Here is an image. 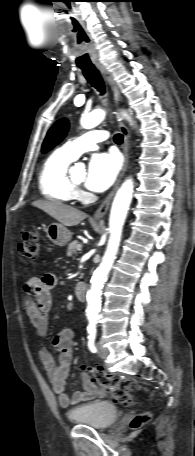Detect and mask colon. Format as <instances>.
I'll list each match as a JSON object with an SVG mask.
<instances>
[{
  "instance_id": "1",
  "label": "colon",
  "mask_w": 195,
  "mask_h": 456,
  "mask_svg": "<svg viewBox=\"0 0 195 456\" xmlns=\"http://www.w3.org/2000/svg\"><path fill=\"white\" fill-rule=\"evenodd\" d=\"M41 239L38 233L27 231L22 234L19 243V251L22 257L28 261H34L40 256ZM86 372L91 379L99 385L106 388L112 400L125 407L134 404L132 396V384L126 379L115 380L101 367H86ZM151 419L149 412H143L136 415L132 422V428H138L146 424Z\"/></svg>"
}]
</instances>
